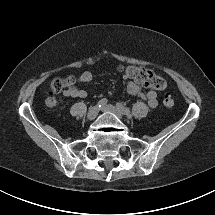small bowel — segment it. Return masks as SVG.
<instances>
[{
	"label": "small bowel",
	"mask_w": 215,
	"mask_h": 215,
	"mask_svg": "<svg viewBox=\"0 0 215 215\" xmlns=\"http://www.w3.org/2000/svg\"><path fill=\"white\" fill-rule=\"evenodd\" d=\"M92 80L93 75L89 71H84L78 76V81L81 83H90ZM127 91L129 94L145 100L148 106L151 108H155L158 105L157 93L153 90H150L144 94L141 92V88L137 83L130 81L127 84ZM64 96L70 98H84L87 96V92L83 89L73 86L64 90Z\"/></svg>",
	"instance_id": "obj_1"
}]
</instances>
